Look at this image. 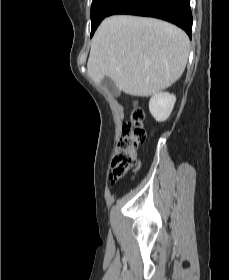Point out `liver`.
I'll list each match as a JSON object with an SVG mask.
<instances>
[{"label":"liver","mask_w":229,"mask_h":280,"mask_svg":"<svg viewBox=\"0 0 229 280\" xmlns=\"http://www.w3.org/2000/svg\"><path fill=\"white\" fill-rule=\"evenodd\" d=\"M186 33L153 18L116 15L99 25L87 72L95 84L107 76L124 93L149 97L177 81L186 67Z\"/></svg>","instance_id":"1"}]
</instances>
